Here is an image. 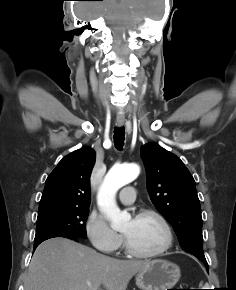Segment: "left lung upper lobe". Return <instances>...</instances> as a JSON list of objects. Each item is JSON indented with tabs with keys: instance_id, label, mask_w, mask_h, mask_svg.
<instances>
[{
	"instance_id": "obj_1",
	"label": "left lung upper lobe",
	"mask_w": 236,
	"mask_h": 290,
	"mask_svg": "<svg viewBox=\"0 0 236 290\" xmlns=\"http://www.w3.org/2000/svg\"><path fill=\"white\" fill-rule=\"evenodd\" d=\"M152 203L173 226L182 249L208 265L203 253L202 217L195 181L183 162L156 143L141 147Z\"/></svg>"
}]
</instances>
